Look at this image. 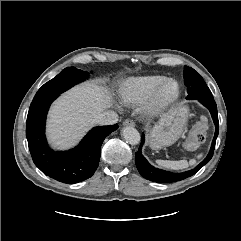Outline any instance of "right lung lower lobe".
<instances>
[{
  "label": "right lung lower lobe",
  "instance_id": "right-lung-lower-lobe-1",
  "mask_svg": "<svg viewBox=\"0 0 241 241\" xmlns=\"http://www.w3.org/2000/svg\"><path fill=\"white\" fill-rule=\"evenodd\" d=\"M58 96L33 99L27 116L26 137L33 162L45 175L64 183H77L94 174L102 142L118 125L94 127L72 150L55 152L46 141L45 121L51 103Z\"/></svg>",
  "mask_w": 241,
  "mask_h": 241
}]
</instances>
